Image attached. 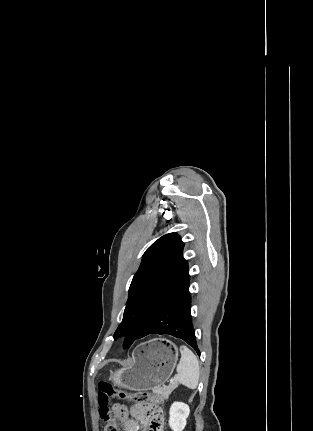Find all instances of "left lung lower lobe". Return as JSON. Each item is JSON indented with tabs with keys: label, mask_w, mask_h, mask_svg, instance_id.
Wrapping results in <instances>:
<instances>
[{
	"label": "left lung lower lobe",
	"mask_w": 313,
	"mask_h": 431,
	"mask_svg": "<svg viewBox=\"0 0 313 431\" xmlns=\"http://www.w3.org/2000/svg\"><path fill=\"white\" fill-rule=\"evenodd\" d=\"M189 285L166 303L139 334L137 339L150 334H169L180 338L200 356L191 317Z\"/></svg>",
	"instance_id": "left-lung-lower-lobe-1"
}]
</instances>
